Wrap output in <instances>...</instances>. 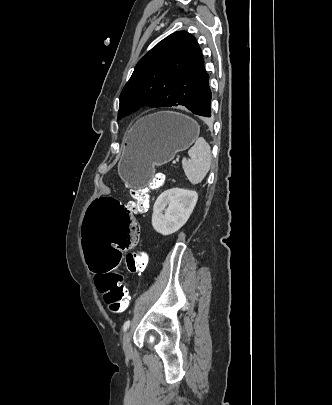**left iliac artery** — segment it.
Listing matches in <instances>:
<instances>
[{
    "instance_id": "1",
    "label": "left iliac artery",
    "mask_w": 332,
    "mask_h": 405,
    "mask_svg": "<svg viewBox=\"0 0 332 405\" xmlns=\"http://www.w3.org/2000/svg\"><path fill=\"white\" fill-rule=\"evenodd\" d=\"M130 323H131L130 320H127V321L124 323V325H123V331H124V332L129 328Z\"/></svg>"
}]
</instances>
